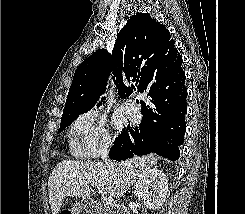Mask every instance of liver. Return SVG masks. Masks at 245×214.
<instances>
[{"label":"liver","mask_w":245,"mask_h":214,"mask_svg":"<svg viewBox=\"0 0 245 214\" xmlns=\"http://www.w3.org/2000/svg\"><path fill=\"white\" fill-rule=\"evenodd\" d=\"M157 164L153 156L133 157L108 168L102 162L63 160L53 169L48 180L52 214H58L66 197L90 196V185L102 196L119 199L143 172Z\"/></svg>","instance_id":"1"}]
</instances>
